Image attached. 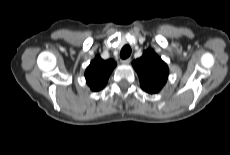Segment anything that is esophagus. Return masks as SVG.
Instances as JSON below:
<instances>
[{"mask_svg": "<svg viewBox=\"0 0 230 155\" xmlns=\"http://www.w3.org/2000/svg\"><path fill=\"white\" fill-rule=\"evenodd\" d=\"M130 62H131V59H130V58L121 60V63H122V64H125V65L129 64Z\"/></svg>", "mask_w": 230, "mask_h": 155, "instance_id": "obj_1", "label": "esophagus"}]
</instances>
